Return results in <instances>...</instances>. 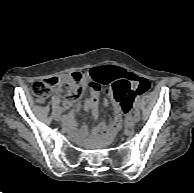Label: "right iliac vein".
Segmentation results:
<instances>
[{
	"mask_svg": "<svg viewBox=\"0 0 194 193\" xmlns=\"http://www.w3.org/2000/svg\"><path fill=\"white\" fill-rule=\"evenodd\" d=\"M58 121H62V118H57Z\"/></svg>",
	"mask_w": 194,
	"mask_h": 193,
	"instance_id": "obj_1",
	"label": "right iliac vein"
}]
</instances>
